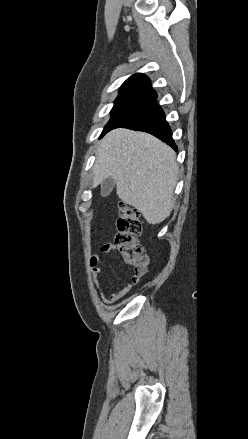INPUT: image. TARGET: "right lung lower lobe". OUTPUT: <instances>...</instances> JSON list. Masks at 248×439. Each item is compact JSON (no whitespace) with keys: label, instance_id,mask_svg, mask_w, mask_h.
I'll return each mask as SVG.
<instances>
[{"label":"right lung lower lobe","instance_id":"obj_1","mask_svg":"<svg viewBox=\"0 0 248 439\" xmlns=\"http://www.w3.org/2000/svg\"><path fill=\"white\" fill-rule=\"evenodd\" d=\"M117 127L148 132L177 151V147L172 139L171 128L165 119L162 108L157 104L156 98L117 124L106 129L101 136Z\"/></svg>","mask_w":248,"mask_h":439}]
</instances>
